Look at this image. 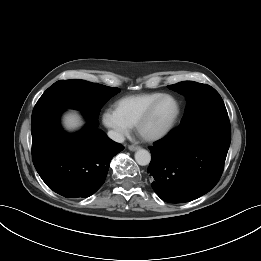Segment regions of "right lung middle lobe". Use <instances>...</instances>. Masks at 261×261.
I'll use <instances>...</instances> for the list:
<instances>
[{"mask_svg":"<svg viewBox=\"0 0 261 261\" xmlns=\"http://www.w3.org/2000/svg\"><path fill=\"white\" fill-rule=\"evenodd\" d=\"M119 91V88L79 79L57 81L40 97L32 118L54 108H73L98 118L102 106Z\"/></svg>","mask_w":261,"mask_h":261,"instance_id":"right-lung-middle-lobe-1","label":"right lung middle lobe"}]
</instances>
